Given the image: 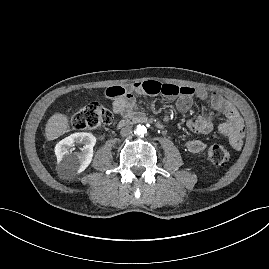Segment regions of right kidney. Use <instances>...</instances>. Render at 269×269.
<instances>
[{
	"instance_id": "right-kidney-1",
	"label": "right kidney",
	"mask_w": 269,
	"mask_h": 269,
	"mask_svg": "<svg viewBox=\"0 0 269 269\" xmlns=\"http://www.w3.org/2000/svg\"><path fill=\"white\" fill-rule=\"evenodd\" d=\"M75 144H83L81 152H70ZM96 138L91 133H74L64 138L55 147V154L61 170L67 174H75L84 171L92 161L93 147Z\"/></svg>"
}]
</instances>
